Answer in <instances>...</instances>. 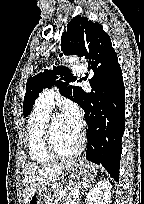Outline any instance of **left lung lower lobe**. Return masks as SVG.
I'll use <instances>...</instances> for the list:
<instances>
[{"mask_svg": "<svg viewBox=\"0 0 144 204\" xmlns=\"http://www.w3.org/2000/svg\"><path fill=\"white\" fill-rule=\"evenodd\" d=\"M94 72L90 94L83 93L80 106L88 124L86 159L102 165L119 181L122 136L125 130V87L117 62L108 69L90 67Z\"/></svg>", "mask_w": 144, "mask_h": 204, "instance_id": "0a47b994", "label": "left lung lower lobe"}]
</instances>
